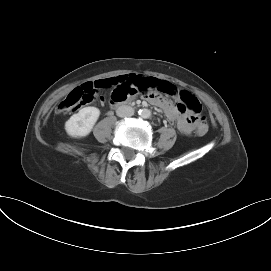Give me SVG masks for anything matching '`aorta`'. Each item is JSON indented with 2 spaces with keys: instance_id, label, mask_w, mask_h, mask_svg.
Listing matches in <instances>:
<instances>
[{
  "instance_id": "1",
  "label": "aorta",
  "mask_w": 271,
  "mask_h": 271,
  "mask_svg": "<svg viewBox=\"0 0 271 271\" xmlns=\"http://www.w3.org/2000/svg\"><path fill=\"white\" fill-rule=\"evenodd\" d=\"M139 115L143 118H148V117H150L151 112L148 109H141V110H139Z\"/></svg>"
}]
</instances>
